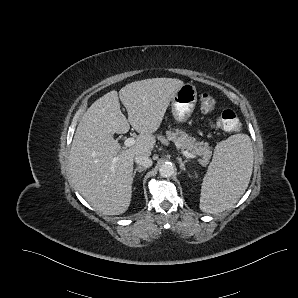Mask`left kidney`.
Instances as JSON below:
<instances>
[{
  "label": "left kidney",
  "mask_w": 298,
  "mask_h": 298,
  "mask_svg": "<svg viewBox=\"0 0 298 298\" xmlns=\"http://www.w3.org/2000/svg\"><path fill=\"white\" fill-rule=\"evenodd\" d=\"M188 176L192 178L194 181H197L198 179V174L195 172H192V173L188 172Z\"/></svg>",
  "instance_id": "5707ae66"
}]
</instances>
